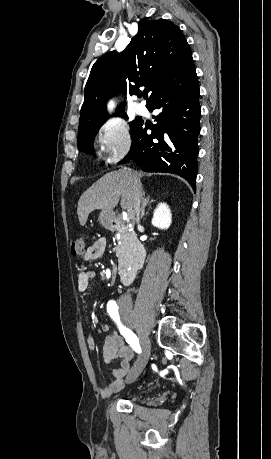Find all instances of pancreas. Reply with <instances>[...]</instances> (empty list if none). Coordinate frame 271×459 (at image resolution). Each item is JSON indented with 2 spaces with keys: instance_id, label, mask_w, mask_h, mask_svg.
Here are the masks:
<instances>
[{
  "instance_id": "pancreas-1",
  "label": "pancreas",
  "mask_w": 271,
  "mask_h": 459,
  "mask_svg": "<svg viewBox=\"0 0 271 459\" xmlns=\"http://www.w3.org/2000/svg\"><path fill=\"white\" fill-rule=\"evenodd\" d=\"M119 241H121V243H118V245L115 247L116 255H119V257H124V255H127L130 249H132L128 239V233H122V231H120Z\"/></svg>"
}]
</instances>
